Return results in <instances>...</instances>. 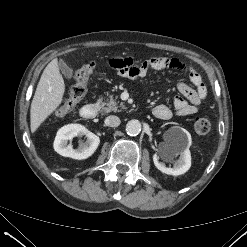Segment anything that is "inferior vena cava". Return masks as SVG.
<instances>
[{
	"label": "inferior vena cava",
	"mask_w": 247,
	"mask_h": 247,
	"mask_svg": "<svg viewBox=\"0 0 247 247\" xmlns=\"http://www.w3.org/2000/svg\"><path fill=\"white\" fill-rule=\"evenodd\" d=\"M120 119L119 117L115 115H110L105 119V124L110 127H117L120 125Z\"/></svg>",
	"instance_id": "inferior-vena-cava-1"
}]
</instances>
